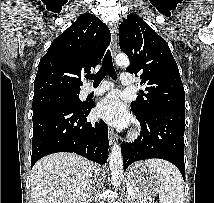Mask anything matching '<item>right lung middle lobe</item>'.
Wrapping results in <instances>:
<instances>
[{
    "label": "right lung middle lobe",
    "instance_id": "obj_1",
    "mask_svg": "<svg viewBox=\"0 0 214 203\" xmlns=\"http://www.w3.org/2000/svg\"><path fill=\"white\" fill-rule=\"evenodd\" d=\"M64 105L78 107L84 105L78 93H58L33 99V113L51 106Z\"/></svg>",
    "mask_w": 214,
    "mask_h": 203
}]
</instances>
